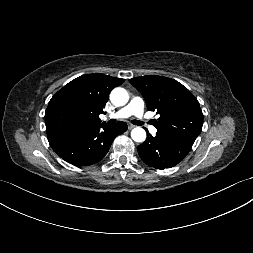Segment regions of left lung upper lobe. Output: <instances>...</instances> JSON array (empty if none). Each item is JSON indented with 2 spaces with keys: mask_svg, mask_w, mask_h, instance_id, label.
I'll use <instances>...</instances> for the list:
<instances>
[{
  "mask_svg": "<svg viewBox=\"0 0 253 253\" xmlns=\"http://www.w3.org/2000/svg\"><path fill=\"white\" fill-rule=\"evenodd\" d=\"M129 82L143 95L149 111L160 115L157 132L195 141L203 114L195 96L181 83L162 76L135 77Z\"/></svg>",
  "mask_w": 253,
  "mask_h": 253,
  "instance_id": "left-lung-upper-lobe-1",
  "label": "left lung upper lobe"
}]
</instances>
